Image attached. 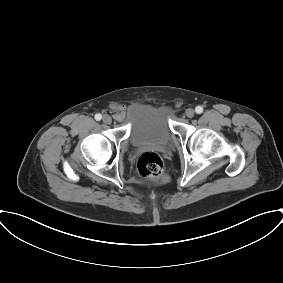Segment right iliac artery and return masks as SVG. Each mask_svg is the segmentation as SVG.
I'll use <instances>...</instances> for the list:
<instances>
[{
  "instance_id": "right-iliac-artery-1",
  "label": "right iliac artery",
  "mask_w": 283,
  "mask_h": 283,
  "mask_svg": "<svg viewBox=\"0 0 283 283\" xmlns=\"http://www.w3.org/2000/svg\"><path fill=\"white\" fill-rule=\"evenodd\" d=\"M101 118H102L101 114H96V115H95V119H96L97 121H100Z\"/></svg>"
}]
</instances>
